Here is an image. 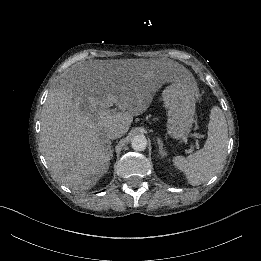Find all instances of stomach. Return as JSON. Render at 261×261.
Wrapping results in <instances>:
<instances>
[{"mask_svg": "<svg viewBox=\"0 0 261 261\" xmlns=\"http://www.w3.org/2000/svg\"><path fill=\"white\" fill-rule=\"evenodd\" d=\"M162 97L168 109L167 133L175 139L185 137L194 122L196 91L188 84L175 82L166 87Z\"/></svg>", "mask_w": 261, "mask_h": 261, "instance_id": "stomach-1", "label": "stomach"}]
</instances>
